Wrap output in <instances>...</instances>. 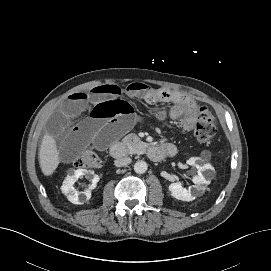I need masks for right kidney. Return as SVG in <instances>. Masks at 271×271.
Returning a JSON list of instances; mask_svg holds the SVG:
<instances>
[{
	"label": "right kidney",
	"mask_w": 271,
	"mask_h": 271,
	"mask_svg": "<svg viewBox=\"0 0 271 271\" xmlns=\"http://www.w3.org/2000/svg\"><path fill=\"white\" fill-rule=\"evenodd\" d=\"M86 175L92 178V184L90 188L84 192H77L74 188L75 181L81 176ZM99 177L94 175L93 171H88L86 169H77L73 173L67 175L61 186L62 193L67 197V199L73 204H83L91 198V190L97 186Z\"/></svg>",
	"instance_id": "obj_1"
}]
</instances>
